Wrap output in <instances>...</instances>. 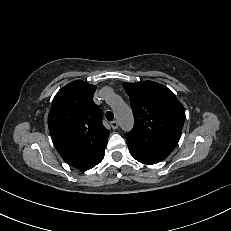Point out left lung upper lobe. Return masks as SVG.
<instances>
[{
	"label": "left lung upper lobe",
	"instance_id": "left-lung-upper-lobe-1",
	"mask_svg": "<svg viewBox=\"0 0 231 231\" xmlns=\"http://www.w3.org/2000/svg\"><path fill=\"white\" fill-rule=\"evenodd\" d=\"M134 114V127L125 134L127 144L167 157L183 128L185 110L167 87L152 82L124 83Z\"/></svg>",
	"mask_w": 231,
	"mask_h": 231
}]
</instances>
